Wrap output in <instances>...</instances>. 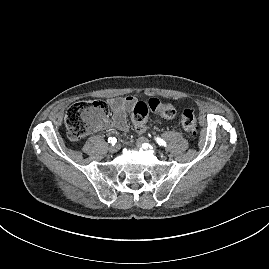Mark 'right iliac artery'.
Masks as SVG:
<instances>
[{"instance_id": "right-iliac-artery-1", "label": "right iliac artery", "mask_w": 269, "mask_h": 269, "mask_svg": "<svg viewBox=\"0 0 269 269\" xmlns=\"http://www.w3.org/2000/svg\"><path fill=\"white\" fill-rule=\"evenodd\" d=\"M108 142L111 144V145H115V143L117 142V139L115 137H110L108 138Z\"/></svg>"}]
</instances>
